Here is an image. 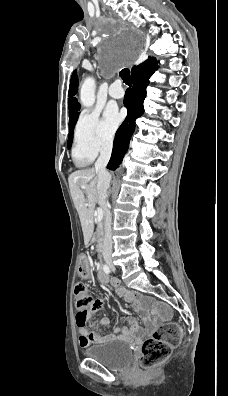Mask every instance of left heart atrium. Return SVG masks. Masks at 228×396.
<instances>
[{"mask_svg":"<svg viewBox=\"0 0 228 396\" xmlns=\"http://www.w3.org/2000/svg\"><path fill=\"white\" fill-rule=\"evenodd\" d=\"M104 120L107 128L110 131L114 132L121 123L122 117L116 107L109 106L105 110Z\"/></svg>","mask_w":228,"mask_h":396,"instance_id":"1","label":"left heart atrium"}]
</instances>
